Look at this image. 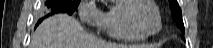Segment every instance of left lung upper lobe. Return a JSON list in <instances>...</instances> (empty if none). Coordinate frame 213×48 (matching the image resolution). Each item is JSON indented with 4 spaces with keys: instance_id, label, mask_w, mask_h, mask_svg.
Wrapping results in <instances>:
<instances>
[{
    "instance_id": "left-lung-upper-lobe-1",
    "label": "left lung upper lobe",
    "mask_w": 213,
    "mask_h": 48,
    "mask_svg": "<svg viewBox=\"0 0 213 48\" xmlns=\"http://www.w3.org/2000/svg\"><path fill=\"white\" fill-rule=\"evenodd\" d=\"M169 2H170L173 18L177 22L178 27L184 32V24H183L182 15H181V9L178 5V2L177 0H169Z\"/></svg>"
}]
</instances>
